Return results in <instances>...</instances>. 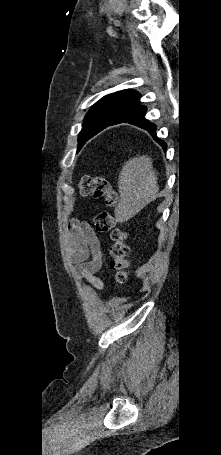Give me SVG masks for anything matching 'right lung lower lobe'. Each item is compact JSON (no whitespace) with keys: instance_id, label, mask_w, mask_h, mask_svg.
Segmentation results:
<instances>
[{"instance_id":"1","label":"right lung lower lobe","mask_w":221,"mask_h":455,"mask_svg":"<svg viewBox=\"0 0 221 455\" xmlns=\"http://www.w3.org/2000/svg\"><path fill=\"white\" fill-rule=\"evenodd\" d=\"M145 113H146V107L138 105L134 107L133 109L127 111L124 113L119 119H117L115 122H113L111 125L119 124V123H130L133 125H136L140 128H143L147 130L154 139L158 141V143L165 149L166 143L163 141L159 140L156 137V127L153 123H150L145 119ZM110 125V126H111Z\"/></svg>"}]
</instances>
